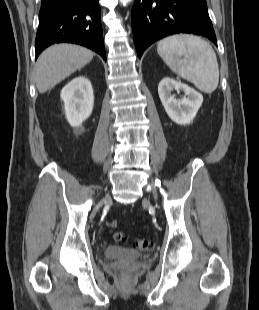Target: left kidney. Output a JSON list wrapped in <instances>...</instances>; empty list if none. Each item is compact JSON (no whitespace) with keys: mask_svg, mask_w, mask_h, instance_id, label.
Here are the masks:
<instances>
[{"mask_svg":"<svg viewBox=\"0 0 259 310\" xmlns=\"http://www.w3.org/2000/svg\"><path fill=\"white\" fill-rule=\"evenodd\" d=\"M173 90L183 91L184 97L176 99ZM158 94L167 115L179 125L190 124L203 103V96L198 91L170 77L160 81Z\"/></svg>","mask_w":259,"mask_h":310,"instance_id":"1","label":"left kidney"}]
</instances>
